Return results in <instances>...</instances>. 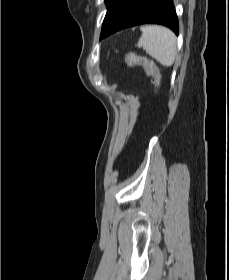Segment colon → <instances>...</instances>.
Segmentation results:
<instances>
[{
  "instance_id": "5ec220e1",
  "label": "colon",
  "mask_w": 229,
  "mask_h": 280,
  "mask_svg": "<svg viewBox=\"0 0 229 280\" xmlns=\"http://www.w3.org/2000/svg\"><path fill=\"white\" fill-rule=\"evenodd\" d=\"M126 60L128 65L130 66H147V70L153 77L154 83L156 84L158 89L160 88V74L157 69L150 64L149 60L146 57L130 52L127 54Z\"/></svg>"
}]
</instances>
